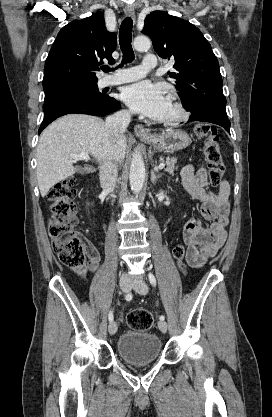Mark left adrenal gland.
Masks as SVG:
<instances>
[{
  "mask_svg": "<svg viewBox=\"0 0 272 417\" xmlns=\"http://www.w3.org/2000/svg\"><path fill=\"white\" fill-rule=\"evenodd\" d=\"M162 177V174H158V175H156L155 174V171L154 170H151V182L153 183V184H156V182L160 179Z\"/></svg>",
  "mask_w": 272,
  "mask_h": 417,
  "instance_id": "1",
  "label": "left adrenal gland"
}]
</instances>
